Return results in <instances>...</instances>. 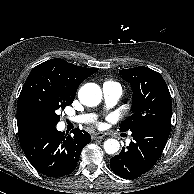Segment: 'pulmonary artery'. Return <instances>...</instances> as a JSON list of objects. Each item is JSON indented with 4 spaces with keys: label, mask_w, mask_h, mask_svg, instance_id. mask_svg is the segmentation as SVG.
Returning <instances> with one entry per match:
<instances>
[{
    "label": "pulmonary artery",
    "mask_w": 194,
    "mask_h": 194,
    "mask_svg": "<svg viewBox=\"0 0 194 194\" xmlns=\"http://www.w3.org/2000/svg\"><path fill=\"white\" fill-rule=\"evenodd\" d=\"M103 95L108 107L114 106L120 99L122 90L119 86L113 84L104 83L103 87ZM93 115L91 114H82L76 117H71L70 120L78 123H87L93 120Z\"/></svg>",
    "instance_id": "pulmonary-artery-1"
}]
</instances>
